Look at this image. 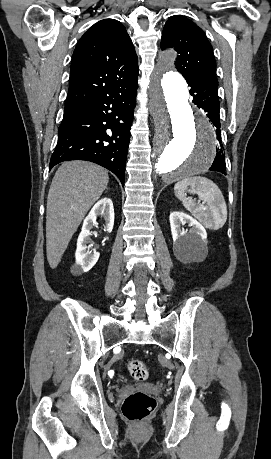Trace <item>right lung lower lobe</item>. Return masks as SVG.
<instances>
[{
  "instance_id": "right-lung-lower-lobe-1",
  "label": "right lung lower lobe",
  "mask_w": 271,
  "mask_h": 459,
  "mask_svg": "<svg viewBox=\"0 0 271 459\" xmlns=\"http://www.w3.org/2000/svg\"><path fill=\"white\" fill-rule=\"evenodd\" d=\"M137 76L64 112L49 170L63 161L86 160L112 171L124 184Z\"/></svg>"
}]
</instances>
